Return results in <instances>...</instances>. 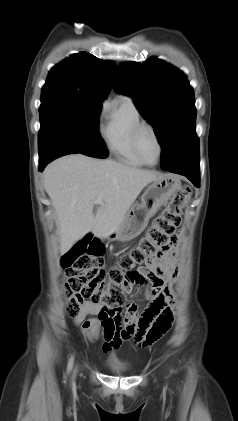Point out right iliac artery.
Instances as JSON below:
<instances>
[{"label":"right iliac artery","instance_id":"82829eb1","mask_svg":"<svg viewBox=\"0 0 238 421\" xmlns=\"http://www.w3.org/2000/svg\"><path fill=\"white\" fill-rule=\"evenodd\" d=\"M73 361H74V357L72 356L68 362V366H67V372L69 373L73 367Z\"/></svg>","mask_w":238,"mask_h":421}]
</instances>
